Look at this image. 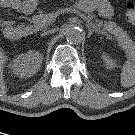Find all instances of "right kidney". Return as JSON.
Wrapping results in <instances>:
<instances>
[{
	"label": "right kidney",
	"instance_id": "obj_1",
	"mask_svg": "<svg viewBox=\"0 0 135 135\" xmlns=\"http://www.w3.org/2000/svg\"><path fill=\"white\" fill-rule=\"evenodd\" d=\"M42 59L39 52L29 51L16 56L10 64V68L15 75L21 78L31 77L40 69Z\"/></svg>",
	"mask_w": 135,
	"mask_h": 135
}]
</instances>
